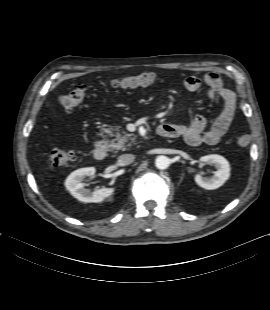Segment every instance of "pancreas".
<instances>
[{"label":"pancreas","mask_w":270,"mask_h":310,"mask_svg":"<svg viewBox=\"0 0 270 310\" xmlns=\"http://www.w3.org/2000/svg\"><path fill=\"white\" fill-rule=\"evenodd\" d=\"M119 125L112 126L109 128L111 131L110 136L114 137L110 141H107V147L110 151H118L122 150L125 151L129 148H131L136 141V137L134 134L127 133Z\"/></svg>","instance_id":"1"}]
</instances>
